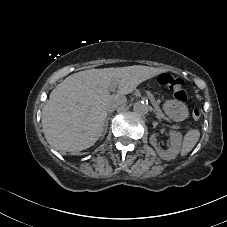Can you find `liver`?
Listing matches in <instances>:
<instances>
[{
    "instance_id": "liver-1",
    "label": "liver",
    "mask_w": 227,
    "mask_h": 227,
    "mask_svg": "<svg viewBox=\"0 0 227 227\" xmlns=\"http://www.w3.org/2000/svg\"><path fill=\"white\" fill-rule=\"evenodd\" d=\"M159 73L158 68L134 65L90 69L67 77L51 91L42 109L41 123L47 143L54 150L65 152L90 148L104 131L109 87L118 85L119 91L127 94Z\"/></svg>"
}]
</instances>
